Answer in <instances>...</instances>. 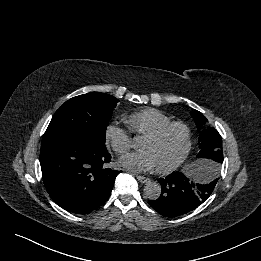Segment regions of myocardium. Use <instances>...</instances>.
Here are the masks:
<instances>
[{"label": "myocardium", "mask_w": 261, "mask_h": 261, "mask_svg": "<svg viewBox=\"0 0 261 261\" xmlns=\"http://www.w3.org/2000/svg\"><path fill=\"white\" fill-rule=\"evenodd\" d=\"M174 127H179L184 130L185 135H186V145L185 148L180 155V157L171 163L168 166L165 167H156V171L161 174H168L171 173L172 171L176 170L178 167H180L188 158L191 150H192V145H193V137H192V131L189 125H187L185 122L182 121H171L167 124H164L154 132L148 134L145 136L146 139L152 140V141H157L161 139L170 129Z\"/></svg>", "instance_id": "obj_1"}]
</instances>
